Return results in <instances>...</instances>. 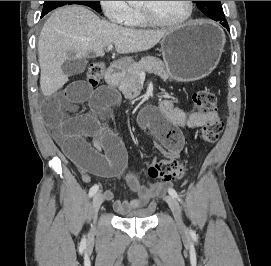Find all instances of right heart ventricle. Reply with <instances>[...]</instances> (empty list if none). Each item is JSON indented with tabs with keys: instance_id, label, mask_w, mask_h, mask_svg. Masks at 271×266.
Masks as SVG:
<instances>
[{
	"instance_id": "1",
	"label": "right heart ventricle",
	"mask_w": 271,
	"mask_h": 266,
	"mask_svg": "<svg viewBox=\"0 0 271 266\" xmlns=\"http://www.w3.org/2000/svg\"><path fill=\"white\" fill-rule=\"evenodd\" d=\"M150 23L143 17L139 8H132L131 16L127 23L128 26L131 27H145Z\"/></svg>"
}]
</instances>
